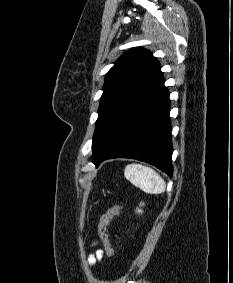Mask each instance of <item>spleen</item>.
I'll use <instances>...</instances> for the list:
<instances>
[{"label": "spleen", "instance_id": "1", "mask_svg": "<svg viewBox=\"0 0 233 283\" xmlns=\"http://www.w3.org/2000/svg\"><path fill=\"white\" fill-rule=\"evenodd\" d=\"M124 176L145 193L161 194L166 188L164 179L156 171L141 164L127 165L124 170Z\"/></svg>", "mask_w": 233, "mask_h": 283}]
</instances>
